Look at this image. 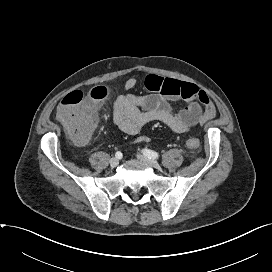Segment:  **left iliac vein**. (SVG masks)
I'll list each match as a JSON object with an SVG mask.
<instances>
[{"label":"left iliac vein","mask_w":272,"mask_h":272,"mask_svg":"<svg viewBox=\"0 0 272 272\" xmlns=\"http://www.w3.org/2000/svg\"><path fill=\"white\" fill-rule=\"evenodd\" d=\"M137 157H138L140 160H142V161L148 163V164H149L150 166H152L153 168H159V167H160V164H159L156 160L151 159V158H149V157H147V156H145V155L138 154Z\"/></svg>","instance_id":"obj_1"}]
</instances>
